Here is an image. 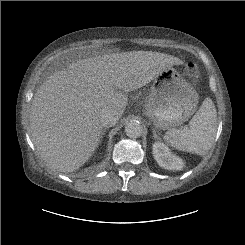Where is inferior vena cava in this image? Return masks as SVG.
I'll return each instance as SVG.
<instances>
[{"label": "inferior vena cava", "instance_id": "inferior-vena-cava-1", "mask_svg": "<svg viewBox=\"0 0 245 245\" xmlns=\"http://www.w3.org/2000/svg\"><path fill=\"white\" fill-rule=\"evenodd\" d=\"M119 117L118 112L110 107L103 108L99 115L100 122L104 127L114 126L119 120Z\"/></svg>", "mask_w": 245, "mask_h": 245}]
</instances>
